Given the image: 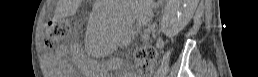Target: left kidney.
<instances>
[{
    "instance_id": "1",
    "label": "left kidney",
    "mask_w": 258,
    "mask_h": 77,
    "mask_svg": "<svg viewBox=\"0 0 258 77\" xmlns=\"http://www.w3.org/2000/svg\"><path fill=\"white\" fill-rule=\"evenodd\" d=\"M177 2H180L179 0ZM198 0H186L187 6L183 10V12L180 14L179 17H176V10L172 11L171 21L174 24H178V28L184 27L192 18L195 9L197 7Z\"/></svg>"
}]
</instances>
